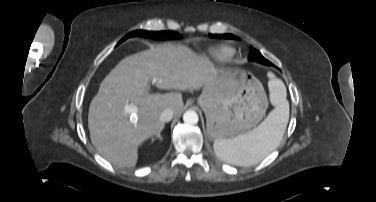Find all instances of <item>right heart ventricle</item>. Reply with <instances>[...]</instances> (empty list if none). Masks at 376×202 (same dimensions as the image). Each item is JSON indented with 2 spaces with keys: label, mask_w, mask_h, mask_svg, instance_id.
Listing matches in <instances>:
<instances>
[{
  "label": "right heart ventricle",
  "mask_w": 376,
  "mask_h": 202,
  "mask_svg": "<svg viewBox=\"0 0 376 202\" xmlns=\"http://www.w3.org/2000/svg\"><path fill=\"white\" fill-rule=\"evenodd\" d=\"M215 55L220 59H228L234 55V50L229 47L220 48Z\"/></svg>",
  "instance_id": "1"
}]
</instances>
